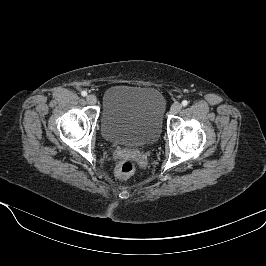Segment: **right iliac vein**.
<instances>
[{"label":"right iliac vein","instance_id":"1","mask_svg":"<svg viewBox=\"0 0 266 266\" xmlns=\"http://www.w3.org/2000/svg\"><path fill=\"white\" fill-rule=\"evenodd\" d=\"M86 100H87V102H88L89 104H91V105H94V104H96V102H97V98H96V96H95V95H92V94L88 95V96L86 97Z\"/></svg>","mask_w":266,"mask_h":266}]
</instances>
